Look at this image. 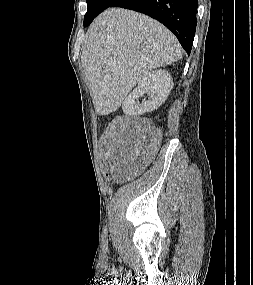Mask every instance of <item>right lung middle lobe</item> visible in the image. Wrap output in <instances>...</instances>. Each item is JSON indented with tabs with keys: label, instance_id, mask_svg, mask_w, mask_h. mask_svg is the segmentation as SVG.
<instances>
[{
	"label": "right lung middle lobe",
	"instance_id": "1",
	"mask_svg": "<svg viewBox=\"0 0 253 285\" xmlns=\"http://www.w3.org/2000/svg\"><path fill=\"white\" fill-rule=\"evenodd\" d=\"M114 0H86L87 12L84 16V26H88L93 19L107 9Z\"/></svg>",
	"mask_w": 253,
	"mask_h": 285
}]
</instances>
